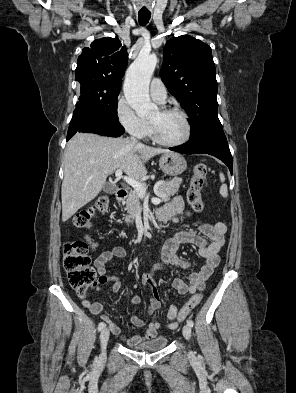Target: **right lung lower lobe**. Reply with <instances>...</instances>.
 Returning a JSON list of instances; mask_svg holds the SVG:
<instances>
[{
	"instance_id": "1",
	"label": "right lung lower lobe",
	"mask_w": 296,
	"mask_h": 393,
	"mask_svg": "<svg viewBox=\"0 0 296 393\" xmlns=\"http://www.w3.org/2000/svg\"><path fill=\"white\" fill-rule=\"evenodd\" d=\"M96 133L103 136L118 137L125 130L119 120L109 118L86 106H76L70 121L67 141L76 133Z\"/></svg>"
}]
</instances>
